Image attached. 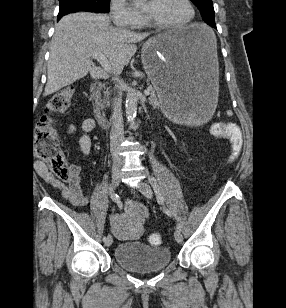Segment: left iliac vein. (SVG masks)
I'll list each match as a JSON object with an SVG mask.
<instances>
[{"label": "left iliac vein", "instance_id": "left-iliac-vein-1", "mask_svg": "<svg viewBox=\"0 0 286 308\" xmlns=\"http://www.w3.org/2000/svg\"><path fill=\"white\" fill-rule=\"evenodd\" d=\"M137 188L145 197H147V198L153 197L152 188L148 183L141 181ZM174 237H175V240L177 241V243H182L183 236H182L181 231L176 229V231L174 232Z\"/></svg>", "mask_w": 286, "mask_h": 308}]
</instances>
